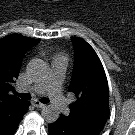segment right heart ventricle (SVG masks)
I'll use <instances>...</instances> for the list:
<instances>
[{"label":"right heart ventricle","instance_id":"e07e8e85","mask_svg":"<svg viewBox=\"0 0 135 135\" xmlns=\"http://www.w3.org/2000/svg\"><path fill=\"white\" fill-rule=\"evenodd\" d=\"M58 60H63V61H65V56L62 55V54L57 55L56 58H55V61H58Z\"/></svg>","mask_w":135,"mask_h":135}]
</instances>
